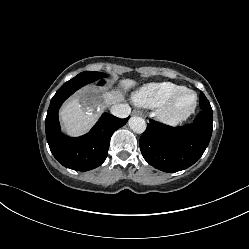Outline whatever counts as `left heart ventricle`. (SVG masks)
<instances>
[{
    "mask_svg": "<svg viewBox=\"0 0 249 249\" xmlns=\"http://www.w3.org/2000/svg\"><path fill=\"white\" fill-rule=\"evenodd\" d=\"M192 103V96L189 93H183L176 101L175 108L178 111H182L189 107Z\"/></svg>",
    "mask_w": 249,
    "mask_h": 249,
    "instance_id": "1",
    "label": "left heart ventricle"
}]
</instances>
